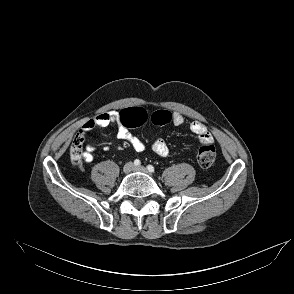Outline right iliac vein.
Listing matches in <instances>:
<instances>
[{"label": "right iliac vein", "instance_id": "obj_1", "mask_svg": "<svg viewBox=\"0 0 294 294\" xmlns=\"http://www.w3.org/2000/svg\"><path fill=\"white\" fill-rule=\"evenodd\" d=\"M133 164L131 163V162H129V163H126L125 165H124V167H123V171H124V173H126V174H128V173H130L132 170H133Z\"/></svg>", "mask_w": 294, "mask_h": 294}]
</instances>
